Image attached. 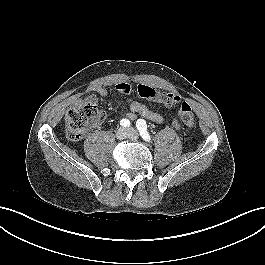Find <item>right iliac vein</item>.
I'll return each instance as SVG.
<instances>
[{"instance_id":"63e3f726","label":"right iliac vein","mask_w":265,"mask_h":265,"mask_svg":"<svg viewBox=\"0 0 265 265\" xmlns=\"http://www.w3.org/2000/svg\"><path fill=\"white\" fill-rule=\"evenodd\" d=\"M127 136H128V131L124 128H119L116 132V137L120 140L126 138Z\"/></svg>"}]
</instances>
